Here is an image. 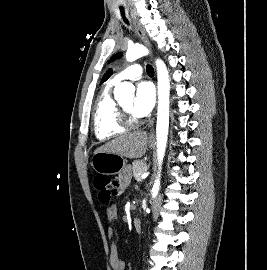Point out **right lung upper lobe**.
Here are the masks:
<instances>
[{"instance_id": "right-lung-upper-lobe-1", "label": "right lung upper lobe", "mask_w": 267, "mask_h": 270, "mask_svg": "<svg viewBox=\"0 0 267 270\" xmlns=\"http://www.w3.org/2000/svg\"><path fill=\"white\" fill-rule=\"evenodd\" d=\"M111 73H112V70L109 69V70L105 73V75L103 76L102 81H105V80L109 77V75H110Z\"/></svg>"}]
</instances>
